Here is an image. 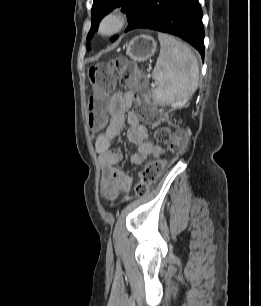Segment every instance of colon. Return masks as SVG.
I'll list each match as a JSON object with an SVG mask.
<instances>
[{
    "mask_svg": "<svg viewBox=\"0 0 261 306\" xmlns=\"http://www.w3.org/2000/svg\"><path fill=\"white\" fill-rule=\"evenodd\" d=\"M116 76L121 86L140 103V116L147 123L157 121L155 107L149 102V89L145 85L137 66L125 58H117L90 67L88 81L91 95L88 100L89 123L92 128L104 126V112L107 107V96L114 89ZM157 140L167 144L168 150L174 156L183 152L187 143V133L184 131L169 132L162 128L156 131ZM168 161L157 157L147 162L140 172V180L135 191L138 196L147 194L149 186L160 176Z\"/></svg>",
    "mask_w": 261,
    "mask_h": 306,
    "instance_id": "obj_1",
    "label": "colon"
}]
</instances>
